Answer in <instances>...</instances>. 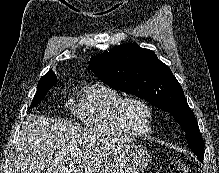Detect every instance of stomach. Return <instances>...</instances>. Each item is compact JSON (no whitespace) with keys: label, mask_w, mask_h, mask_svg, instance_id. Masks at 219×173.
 <instances>
[{"label":"stomach","mask_w":219,"mask_h":173,"mask_svg":"<svg viewBox=\"0 0 219 173\" xmlns=\"http://www.w3.org/2000/svg\"><path fill=\"white\" fill-rule=\"evenodd\" d=\"M151 160L148 149L137 142L123 144L97 169L96 173H139Z\"/></svg>","instance_id":"obj_1"}]
</instances>
